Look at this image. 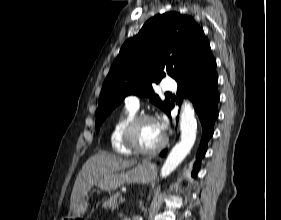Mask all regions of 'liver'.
I'll use <instances>...</instances> for the list:
<instances>
[{
    "label": "liver",
    "mask_w": 281,
    "mask_h": 220,
    "mask_svg": "<svg viewBox=\"0 0 281 220\" xmlns=\"http://www.w3.org/2000/svg\"><path fill=\"white\" fill-rule=\"evenodd\" d=\"M135 164H137L136 160H125L106 152H99L90 157L82 166L75 180L70 199V211L103 175L125 170Z\"/></svg>",
    "instance_id": "6515ba94"
}]
</instances>
